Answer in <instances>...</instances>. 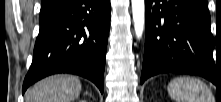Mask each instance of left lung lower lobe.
Returning <instances> with one entry per match:
<instances>
[{
    "instance_id": "1",
    "label": "left lung lower lobe",
    "mask_w": 221,
    "mask_h": 102,
    "mask_svg": "<svg viewBox=\"0 0 221 102\" xmlns=\"http://www.w3.org/2000/svg\"><path fill=\"white\" fill-rule=\"evenodd\" d=\"M205 0H145V50L141 83L160 73L202 76L216 84L214 38Z\"/></svg>"
}]
</instances>
